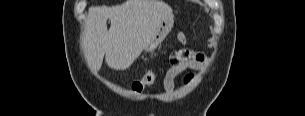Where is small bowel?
Wrapping results in <instances>:
<instances>
[{"mask_svg": "<svg viewBox=\"0 0 305 116\" xmlns=\"http://www.w3.org/2000/svg\"><path fill=\"white\" fill-rule=\"evenodd\" d=\"M206 57L199 52L188 50L173 51L170 56V66L163 78V88L167 93H172L175 87V79L188 70H198L203 67ZM193 75L185 78V83L192 79Z\"/></svg>", "mask_w": 305, "mask_h": 116, "instance_id": "c3829d8e", "label": "small bowel"}]
</instances>
